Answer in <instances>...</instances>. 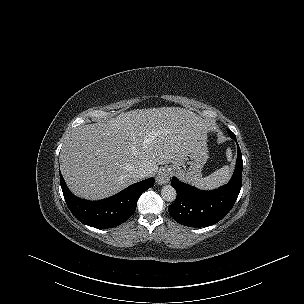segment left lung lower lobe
I'll return each mask as SVG.
<instances>
[{
    "mask_svg": "<svg viewBox=\"0 0 304 304\" xmlns=\"http://www.w3.org/2000/svg\"><path fill=\"white\" fill-rule=\"evenodd\" d=\"M233 139L236 141V137ZM242 170L243 160L238 146L233 176L227 185L219 189L213 191L198 190L173 177L171 185L177 191V198L169 207V214L178 223L189 227L200 228L219 222L232 209L237 200L241 189Z\"/></svg>",
    "mask_w": 304,
    "mask_h": 304,
    "instance_id": "left-lung-lower-lobe-1",
    "label": "left lung lower lobe"
}]
</instances>
